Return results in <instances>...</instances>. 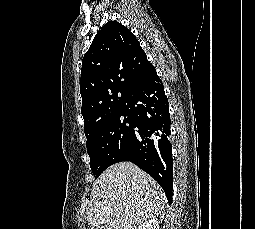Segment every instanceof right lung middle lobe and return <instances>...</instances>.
I'll return each mask as SVG.
<instances>
[{"label":"right lung middle lobe","instance_id":"right-lung-middle-lobe-1","mask_svg":"<svg viewBox=\"0 0 255 229\" xmlns=\"http://www.w3.org/2000/svg\"><path fill=\"white\" fill-rule=\"evenodd\" d=\"M133 131L132 119L120 111L102 123L87 139L90 167L96 178L112 164L130 157Z\"/></svg>","mask_w":255,"mask_h":229}]
</instances>
